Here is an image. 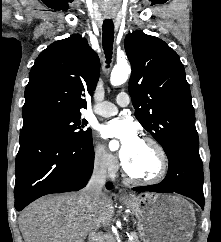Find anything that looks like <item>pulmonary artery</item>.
Segmentation results:
<instances>
[{
    "mask_svg": "<svg viewBox=\"0 0 221 242\" xmlns=\"http://www.w3.org/2000/svg\"><path fill=\"white\" fill-rule=\"evenodd\" d=\"M116 102L119 106H128L130 102L129 95L126 92H120L116 97ZM93 113L101 117H110L118 112V108L111 102H101L95 105L92 109Z\"/></svg>",
    "mask_w": 221,
    "mask_h": 242,
    "instance_id": "obj_1",
    "label": "pulmonary artery"
}]
</instances>
